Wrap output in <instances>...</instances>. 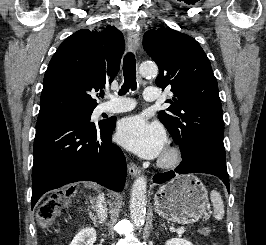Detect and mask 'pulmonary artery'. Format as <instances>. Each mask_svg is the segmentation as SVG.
I'll return each mask as SVG.
<instances>
[{"label": "pulmonary artery", "mask_w": 266, "mask_h": 245, "mask_svg": "<svg viewBox=\"0 0 266 245\" xmlns=\"http://www.w3.org/2000/svg\"><path fill=\"white\" fill-rule=\"evenodd\" d=\"M144 101H160V96H157V91L154 86L145 87ZM111 99H120L117 96L110 95ZM132 100H135V97H131V100H113V103H104L101 106V110L105 113H121L132 110L135 105L132 103Z\"/></svg>", "instance_id": "e3ab8cb5"}]
</instances>
